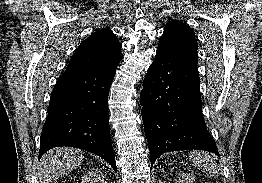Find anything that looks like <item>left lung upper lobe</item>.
I'll use <instances>...</instances> for the list:
<instances>
[{
	"label": "left lung upper lobe",
	"mask_w": 262,
	"mask_h": 183,
	"mask_svg": "<svg viewBox=\"0 0 262 183\" xmlns=\"http://www.w3.org/2000/svg\"><path fill=\"white\" fill-rule=\"evenodd\" d=\"M197 49L198 44L194 31L178 20H171L164 28L157 53L197 67Z\"/></svg>",
	"instance_id": "obj_1"
}]
</instances>
